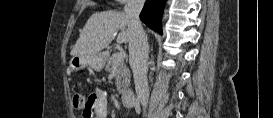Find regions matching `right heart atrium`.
<instances>
[{"label": "right heart atrium", "instance_id": "1", "mask_svg": "<svg viewBox=\"0 0 273 118\" xmlns=\"http://www.w3.org/2000/svg\"><path fill=\"white\" fill-rule=\"evenodd\" d=\"M123 3H126V2H128V1H122Z\"/></svg>", "mask_w": 273, "mask_h": 118}]
</instances>
